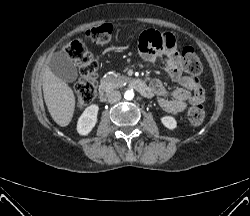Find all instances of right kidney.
Masks as SVG:
<instances>
[{"label":"right kidney","instance_id":"obj_1","mask_svg":"<svg viewBox=\"0 0 250 216\" xmlns=\"http://www.w3.org/2000/svg\"><path fill=\"white\" fill-rule=\"evenodd\" d=\"M98 105L87 107L78 119L77 132L80 135H88L97 123Z\"/></svg>","mask_w":250,"mask_h":216}]
</instances>
